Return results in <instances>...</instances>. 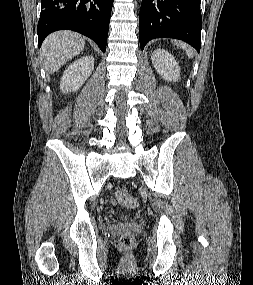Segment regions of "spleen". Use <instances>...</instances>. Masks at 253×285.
I'll return each mask as SVG.
<instances>
[{"label":"spleen","instance_id":"obj_1","mask_svg":"<svg viewBox=\"0 0 253 285\" xmlns=\"http://www.w3.org/2000/svg\"><path fill=\"white\" fill-rule=\"evenodd\" d=\"M174 44H176V46H178V47L182 48L183 50H185L186 54H187V56L189 58L193 57L194 50L191 47L187 46L185 43L180 42V41H177V42L174 41Z\"/></svg>","mask_w":253,"mask_h":285}]
</instances>
